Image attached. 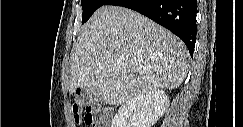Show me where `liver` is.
I'll list each match as a JSON object with an SVG mask.
<instances>
[{
	"label": "liver",
	"mask_w": 243,
	"mask_h": 127,
	"mask_svg": "<svg viewBox=\"0 0 243 127\" xmlns=\"http://www.w3.org/2000/svg\"><path fill=\"white\" fill-rule=\"evenodd\" d=\"M189 52L169 30L128 8H99L73 47L70 93L91 88L106 104L160 89L179 87Z\"/></svg>",
	"instance_id": "liver-1"
}]
</instances>
